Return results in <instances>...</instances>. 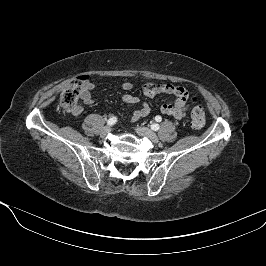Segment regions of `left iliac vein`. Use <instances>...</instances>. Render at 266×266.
<instances>
[{"instance_id": "1", "label": "left iliac vein", "mask_w": 266, "mask_h": 266, "mask_svg": "<svg viewBox=\"0 0 266 266\" xmlns=\"http://www.w3.org/2000/svg\"><path fill=\"white\" fill-rule=\"evenodd\" d=\"M136 131L140 136L146 137L154 143L158 142V137L152 130H150L146 127H137Z\"/></svg>"}]
</instances>
